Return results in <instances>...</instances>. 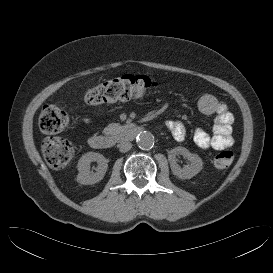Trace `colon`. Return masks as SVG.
Segmentation results:
<instances>
[{
	"label": "colon",
	"mask_w": 273,
	"mask_h": 273,
	"mask_svg": "<svg viewBox=\"0 0 273 273\" xmlns=\"http://www.w3.org/2000/svg\"><path fill=\"white\" fill-rule=\"evenodd\" d=\"M157 86V83L147 76L125 75L104 80L91 88L85 94V101L90 105H100L117 101H126L132 97L143 95ZM69 122L64 109L58 105H46L39 117L40 129L46 134L63 131ZM42 151L51 168L59 169L66 166L74 156L75 148L72 142L59 137L47 138ZM234 160L230 150L219 152L214 159V165L219 169L228 168Z\"/></svg>",
	"instance_id": "1"
}]
</instances>
